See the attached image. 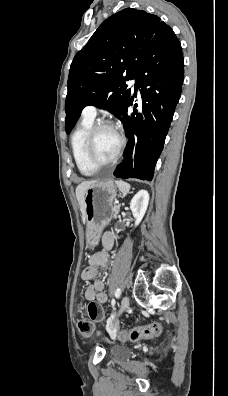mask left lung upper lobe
Wrapping results in <instances>:
<instances>
[{
  "instance_id": "obj_1",
  "label": "left lung upper lobe",
  "mask_w": 228,
  "mask_h": 396,
  "mask_svg": "<svg viewBox=\"0 0 228 396\" xmlns=\"http://www.w3.org/2000/svg\"><path fill=\"white\" fill-rule=\"evenodd\" d=\"M169 28L158 16L133 8L111 15L98 27L70 67L65 101L67 134L87 105L121 118L131 90L125 81L136 77L148 47Z\"/></svg>"
}]
</instances>
